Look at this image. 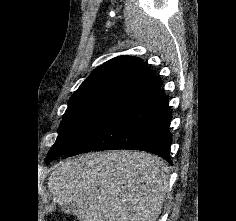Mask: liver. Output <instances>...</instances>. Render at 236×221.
Segmentation results:
<instances>
[{
    "label": "liver",
    "instance_id": "1",
    "mask_svg": "<svg viewBox=\"0 0 236 221\" xmlns=\"http://www.w3.org/2000/svg\"><path fill=\"white\" fill-rule=\"evenodd\" d=\"M169 167L147 152L88 153L60 162L48 178L53 199L79 221H156Z\"/></svg>",
    "mask_w": 236,
    "mask_h": 221
}]
</instances>
